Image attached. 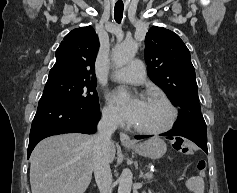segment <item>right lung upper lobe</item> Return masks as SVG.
Here are the masks:
<instances>
[{
  "instance_id": "1",
  "label": "right lung upper lobe",
  "mask_w": 237,
  "mask_h": 193,
  "mask_svg": "<svg viewBox=\"0 0 237 193\" xmlns=\"http://www.w3.org/2000/svg\"><path fill=\"white\" fill-rule=\"evenodd\" d=\"M99 46V39L93 27L72 30L56 50V63L49 74L96 80L94 63Z\"/></svg>"
}]
</instances>
